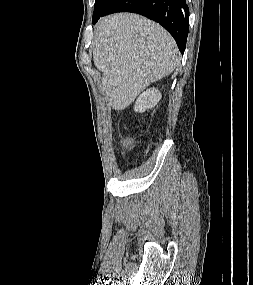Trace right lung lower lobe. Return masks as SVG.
<instances>
[{"label": "right lung lower lobe", "instance_id": "1", "mask_svg": "<svg viewBox=\"0 0 253 285\" xmlns=\"http://www.w3.org/2000/svg\"><path fill=\"white\" fill-rule=\"evenodd\" d=\"M115 12H133L161 24L175 39L183 54L188 36L189 8L185 0H113L107 9L93 19Z\"/></svg>", "mask_w": 253, "mask_h": 285}]
</instances>
